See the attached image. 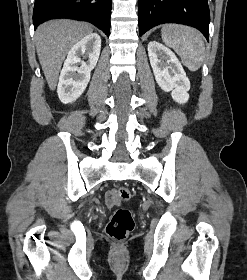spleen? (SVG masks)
Returning <instances> with one entry per match:
<instances>
[{
	"label": "spleen",
	"instance_id": "3e777b00",
	"mask_svg": "<svg viewBox=\"0 0 247 280\" xmlns=\"http://www.w3.org/2000/svg\"><path fill=\"white\" fill-rule=\"evenodd\" d=\"M163 42L171 47L190 71H197L205 58V44L201 34L188 26L167 24L161 30Z\"/></svg>",
	"mask_w": 247,
	"mask_h": 280
}]
</instances>
